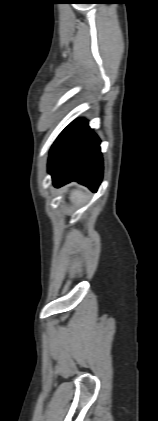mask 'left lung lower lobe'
I'll use <instances>...</instances> for the list:
<instances>
[{
	"label": "left lung lower lobe",
	"instance_id": "1",
	"mask_svg": "<svg viewBox=\"0 0 158 421\" xmlns=\"http://www.w3.org/2000/svg\"><path fill=\"white\" fill-rule=\"evenodd\" d=\"M100 140L88 127L87 121L78 119L67 126L53 144L48 172L55 187L77 181L96 192L103 174Z\"/></svg>",
	"mask_w": 158,
	"mask_h": 421
}]
</instances>
